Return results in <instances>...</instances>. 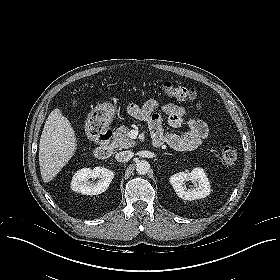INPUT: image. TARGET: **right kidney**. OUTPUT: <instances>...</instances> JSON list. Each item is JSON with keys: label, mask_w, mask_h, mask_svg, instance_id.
I'll list each match as a JSON object with an SVG mask.
<instances>
[{"label": "right kidney", "mask_w": 280, "mask_h": 280, "mask_svg": "<svg viewBox=\"0 0 280 280\" xmlns=\"http://www.w3.org/2000/svg\"><path fill=\"white\" fill-rule=\"evenodd\" d=\"M113 178L114 172L107 168H83L74 174L71 189L84 195H98L107 190ZM90 179L98 180L93 182Z\"/></svg>", "instance_id": "right-kidney-1"}]
</instances>
